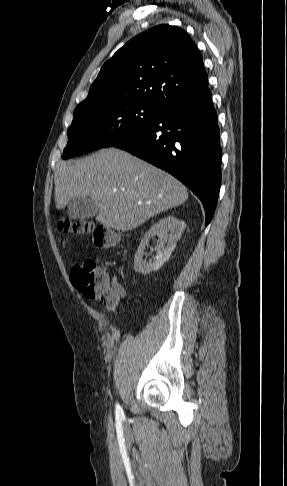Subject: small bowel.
Here are the masks:
<instances>
[{
	"mask_svg": "<svg viewBox=\"0 0 287 486\" xmlns=\"http://www.w3.org/2000/svg\"><path fill=\"white\" fill-rule=\"evenodd\" d=\"M111 283H112V287L113 289L117 292V294L119 295V302L116 304V305H113V306H106V309L109 310V311H114L116 310L120 305H121V301L126 297V290L125 288L118 282V280L116 278H113L111 280Z\"/></svg>",
	"mask_w": 287,
	"mask_h": 486,
	"instance_id": "1",
	"label": "small bowel"
}]
</instances>
